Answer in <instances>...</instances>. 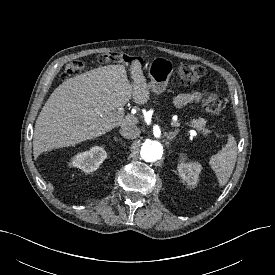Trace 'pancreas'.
<instances>
[{"label": "pancreas", "mask_w": 275, "mask_h": 275, "mask_svg": "<svg viewBox=\"0 0 275 275\" xmlns=\"http://www.w3.org/2000/svg\"><path fill=\"white\" fill-rule=\"evenodd\" d=\"M190 126L195 128L197 131H200L206 137L210 133V130L205 127L206 121L203 118L193 119L190 122Z\"/></svg>", "instance_id": "cf45deb5"}]
</instances>
